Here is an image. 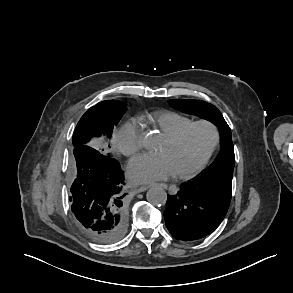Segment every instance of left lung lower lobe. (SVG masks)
<instances>
[{"label": "left lung lower lobe", "instance_id": "left-lung-lower-lobe-1", "mask_svg": "<svg viewBox=\"0 0 293 293\" xmlns=\"http://www.w3.org/2000/svg\"><path fill=\"white\" fill-rule=\"evenodd\" d=\"M232 178L202 176L168 195L164 219L177 240L193 241L212 233L224 219L231 201Z\"/></svg>", "mask_w": 293, "mask_h": 293}]
</instances>
